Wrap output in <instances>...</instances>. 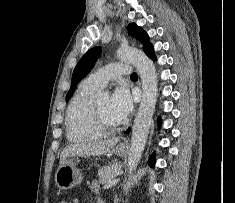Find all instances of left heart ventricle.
I'll use <instances>...</instances> for the list:
<instances>
[{
  "instance_id": "b2bd125f",
  "label": "left heart ventricle",
  "mask_w": 235,
  "mask_h": 203,
  "mask_svg": "<svg viewBox=\"0 0 235 203\" xmlns=\"http://www.w3.org/2000/svg\"><path fill=\"white\" fill-rule=\"evenodd\" d=\"M99 111L105 122L111 126L120 124V121L114 117L109 108V99H101L96 101Z\"/></svg>"
}]
</instances>
